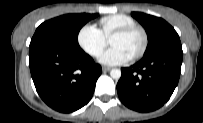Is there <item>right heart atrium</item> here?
I'll use <instances>...</instances> for the list:
<instances>
[{
	"label": "right heart atrium",
	"instance_id": "right-heart-atrium-1",
	"mask_svg": "<svg viewBox=\"0 0 203 123\" xmlns=\"http://www.w3.org/2000/svg\"><path fill=\"white\" fill-rule=\"evenodd\" d=\"M79 46L90 56L98 57L108 44L102 31L92 24L81 27L77 35Z\"/></svg>",
	"mask_w": 203,
	"mask_h": 123
}]
</instances>
